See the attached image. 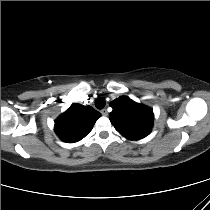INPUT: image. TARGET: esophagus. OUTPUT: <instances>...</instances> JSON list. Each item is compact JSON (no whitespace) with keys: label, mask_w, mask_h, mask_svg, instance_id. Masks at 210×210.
<instances>
[{"label":"esophagus","mask_w":210,"mask_h":210,"mask_svg":"<svg viewBox=\"0 0 210 210\" xmlns=\"http://www.w3.org/2000/svg\"><path fill=\"white\" fill-rule=\"evenodd\" d=\"M100 112H101V114H102L103 116H107V115H108V112H107L106 109H102Z\"/></svg>","instance_id":"1"}]
</instances>
